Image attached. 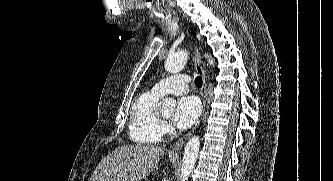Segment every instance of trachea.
Wrapping results in <instances>:
<instances>
[{
  "label": "trachea",
  "mask_w": 333,
  "mask_h": 181,
  "mask_svg": "<svg viewBox=\"0 0 333 181\" xmlns=\"http://www.w3.org/2000/svg\"><path fill=\"white\" fill-rule=\"evenodd\" d=\"M195 84L197 87L201 88L202 87V84H203V81H202V77L201 76H197L195 78Z\"/></svg>",
  "instance_id": "1"
}]
</instances>
